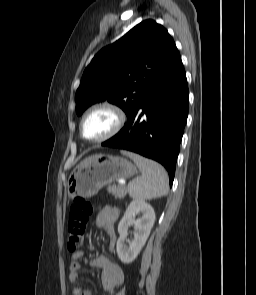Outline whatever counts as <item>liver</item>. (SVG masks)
<instances>
[{
    "label": "liver",
    "instance_id": "liver-1",
    "mask_svg": "<svg viewBox=\"0 0 256 295\" xmlns=\"http://www.w3.org/2000/svg\"><path fill=\"white\" fill-rule=\"evenodd\" d=\"M92 157H93V156H91V157H88V158H87V159H85V160H88V159H90V158H92ZM85 160H84V161H85Z\"/></svg>",
    "mask_w": 256,
    "mask_h": 295
}]
</instances>
